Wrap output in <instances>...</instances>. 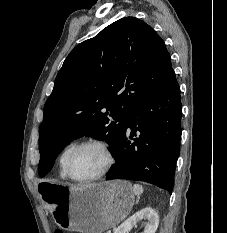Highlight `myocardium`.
Instances as JSON below:
<instances>
[{
    "label": "myocardium",
    "instance_id": "myocardium-1",
    "mask_svg": "<svg viewBox=\"0 0 227 233\" xmlns=\"http://www.w3.org/2000/svg\"><path fill=\"white\" fill-rule=\"evenodd\" d=\"M85 146H97L101 148L106 156V164L104 168L98 174L94 176L87 177V178H76L71 173L70 160L76 151H78L79 149ZM114 163H115V156L109 143L101 139H88V140H84L82 142L75 144L72 147V149L68 152L66 159H65V172H66L67 177L74 182H78V183L92 182V181H96V180L103 178L111 170Z\"/></svg>",
    "mask_w": 227,
    "mask_h": 233
}]
</instances>
